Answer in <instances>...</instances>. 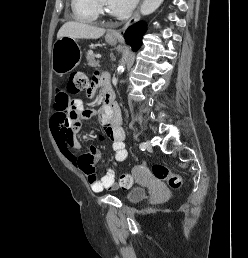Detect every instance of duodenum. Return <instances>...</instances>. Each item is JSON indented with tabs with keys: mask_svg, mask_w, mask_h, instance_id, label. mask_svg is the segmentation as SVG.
Returning <instances> with one entry per match:
<instances>
[{
	"mask_svg": "<svg viewBox=\"0 0 248 258\" xmlns=\"http://www.w3.org/2000/svg\"><path fill=\"white\" fill-rule=\"evenodd\" d=\"M102 84L104 86V106L107 111H114V94L113 89L109 83L108 77L102 76ZM100 78V79H101Z\"/></svg>",
	"mask_w": 248,
	"mask_h": 258,
	"instance_id": "duodenum-1",
	"label": "duodenum"
}]
</instances>
